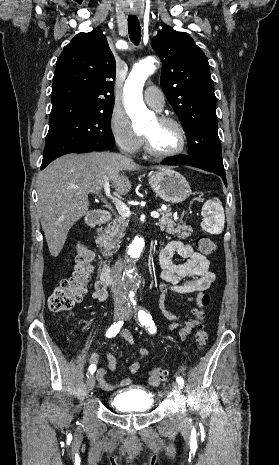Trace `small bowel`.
<instances>
[{
  "instance_id": "small-bowel-1",
  "label": "small bowel",
  "mask_w": 279,
  "mask_h": 465,
  "mask_svg": "<svg viewBox=\"0 0 279 465\" xmlns=\"http://www.w3.org/2000/svg\"><path fill=\"white\" fill-rule=\"evenodd\" d=\"M159 261L161 272L159 274L160 290L162 293L174 292L179 294H195L190 297L189 301L196 303L200 308L201 297L207 291L215 280V273L212 270V263L204 254L196 252L189 244L173 240L162 244L159 249ZM175 254L184 258V262L174 263L172 258ZM108 296L107 285L100 279L94 284L92 298L98 302H103ZM199 309L193 308L190 312L196 318L182 319L177 315L167 312L166 316L172 321L169 326L170 330L178 329L179 337L184 341L199 324ZM121 337L131 346L137 345V341L132 333L124 329ZM149 350L141 347L138 350L137 357L129 362V372L136 373L141 362L148 356ZM101 360L98 353H93L89 358L91 365H97ZM116 357L112 352L106 356L105 367H99L96 370V378L100 387L105 391H113L117 388L125 387L131 383V378L127 377L118 383H110L106 379L107 369L112 370L116 367ZM90 365V366H91Z\"/></svg>"
}]
</instances>
